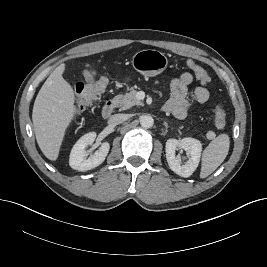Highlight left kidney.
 <instances>
[{"label":"left kidney","instance_id":"5707ae66","mask_svg":"<svg viewBox=\"0 0 267 267\" xmlns=\"http://www.w3.org/2000/svg\"><path fill=\"white\" fill-rule=\"evenodd\" d=\"M185 150L189 157L188 160L181 163L180 157L175 155L176 150ZM166 159L170 169L181 177H189L199 165L202 144L199 140L186 137L181 140L168 139L165 146Z\"/></svg>","mask_w":267,"mask_h":267}]
</instances>
